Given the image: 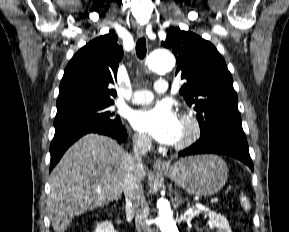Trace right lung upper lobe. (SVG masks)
<instances>
[{"mask_svg": "<svg viewBox=\"0 0 289 232\" xmlns=\"http://www.w3.org/2000/svg\"><path fill=\"white\" fill-rule=\"evenodd\" d=\"M106 34L82 47L68 63L60 83L57 108L75 103H114L122 47Z\"/></svg>", "mask_w": 289, "mask_h": 232, "instance_id": "cb5924a9", "label": "right lung upper lobe"}]
</instances>
